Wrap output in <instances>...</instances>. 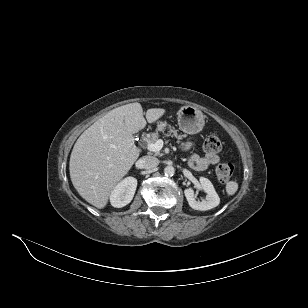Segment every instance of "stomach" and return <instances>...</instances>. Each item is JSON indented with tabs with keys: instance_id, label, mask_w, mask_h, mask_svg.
I'll use <instances>...</instances> for the list:
<instances>
[{
	"instance_id": "obj_1",
	"label": "stomach",
	"mask_w": 308,
	"mask_h": 308,
	"mask_svg": "<svg viewBox=\"0 0 308 308\" xmlns=\"http://www.w3.org/2000/svg\"><path fill=\"white\" fill-rule=\"evenodd\" d=\"M179 129L187 134L200 132L205 124L203 113L193 106H183L178 111Z\"/></svg>"
}]
</instances>
